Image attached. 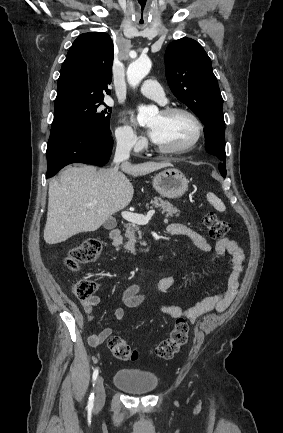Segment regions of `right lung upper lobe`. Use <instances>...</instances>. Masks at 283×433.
<instances>
[{
    "label": "right lung upper lobe",
    "mask_w": 283,
    "mask_h": 433,
    "mask_svg": "<svg viewBox=\"0 0 283 433\" xmlns=\"http://www.w3.org/2000/svg\"><path fill=\"white\" fill-rule=\"evenodd\" d=\"M113 42L107 33L81 34L69 49L58 79L55 111L110 95Z\"/></svg>",
    "instance_id": "right-lung-upper-lobe-1"
}]
</instances>
